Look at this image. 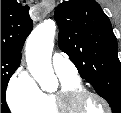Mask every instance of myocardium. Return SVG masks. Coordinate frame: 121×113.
<instances>
[{"mask_svg": "<svg viewBox=\"0 0 121 113\" xmlns=\"http://www.w3.org/2000/svg\"><path fill=\"white\" fill-rule=\"evenodd\" d=\"M55 97L56 104L60 110L80 109L75 106L79 105L85 98L93 97L103 104L105 107V113H111V106L106 98L98 93L83 88L61 89L55 94Z\"/></svg>", "mask_w": 121, "mask_h": 113, "instance_id": "1", "label": "myocardium"}]
</instances>
